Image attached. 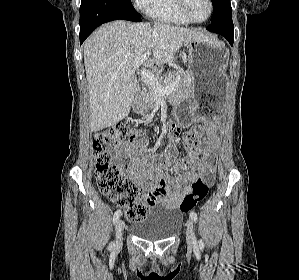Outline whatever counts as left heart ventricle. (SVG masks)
<instances>
[{"mask_svg":"<svg viewBox=\"0 0 299 280\" xmlns=\"http://www.w3.org/2000/svg\"><path fill=\"white\" fill-rule=\"evenodd\" d=\"M187 8L195 20H204L209 12L207 0H188Z\"/></svg>","mask_w":299,"mask_h":280,"instance_id":"1","label":"left heart ventricle"}]
</instances>
